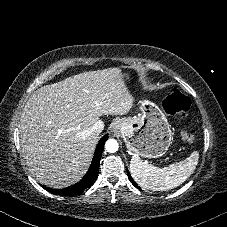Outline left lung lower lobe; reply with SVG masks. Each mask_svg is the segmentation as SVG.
Listing matches in <instances>:
<instances>
[{
    "instance_id": "0a47b994",
    "label": "left lung lower lobe",
    "mask_w": 227,
    "mask_h": 227,
    "mask_svg": "<svg viewBox=\"0 0 227 227\" xmlns=\"http://www.w3.org/2000/svg\"><path fill=\"white\" fill-rule=\"evenodd\" d=\"M127 174H128V178L130 180V182L137 188H139V186L136 184V182L133 180V178L131 177V175L129 174V172L127 171Z\"/></svg>"
}]
</instances>
